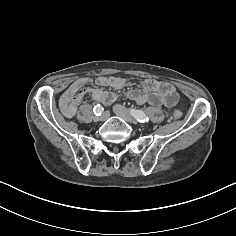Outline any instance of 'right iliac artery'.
Segmentation results:
<instances>
[{"label":"right iliac artery","mask_w":236,"mask_h":236,"mask_svg":"<svg viewBox=\"0 0 236 236\" xmlns=\"http://www.w3.org/2000/svg\"><path fill=\"white\" fill-rule=\"evenodd\" d=\"M103 110L104 108L100 104H97L93 109L96 116H100L103 113Z\"/></svg>","instance_id":"right-iliac-artery-1"}]
</instances>
